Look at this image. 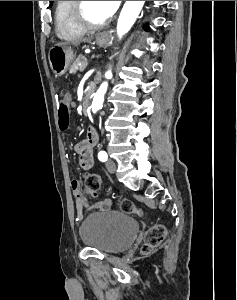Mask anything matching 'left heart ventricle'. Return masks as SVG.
<instances>
[{
	"label": "left heart ventricle",
	"mask_w": 237,
	"mask_h": 300,
	"mask_svg": "<svg viewBox=\"0 0 237 300\" xmlns=\"http://www.w3.org/2000/svg\"><path fill=\"white\" fill-rule=\"evenodd\" d=\"M84 11L87 18L99 23L111 17L109 10L106 8L104 1H84Z\"/></svg>",
	"instance_id": "1"
}]
</instances>
